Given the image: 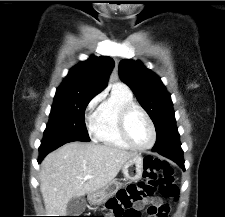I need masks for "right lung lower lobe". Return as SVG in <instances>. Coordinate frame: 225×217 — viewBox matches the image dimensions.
Returning <instances> with one entry per match:
<instances>
[{"label":"right lung lower lobe","instance_id":"1","mask_svg":"<svg viewBox=\"0 0 225 217\" xmlns=\"http://www.w3.org/2000/svg\"><path fill=\"white\" fill-rule=\"evenodd\" d=\"M72 142L71 140H58V139H50V140H43L41 142V146L39 148V160H41L51 151L54 149L64 145L65 143Z\"/></svg>","mask_w":225,"mask_h":217}]
</instances>
